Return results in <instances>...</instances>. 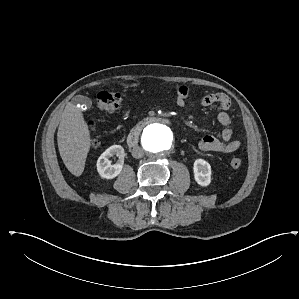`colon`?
Segmentation results:
<instances>
[{
    "label": "colon",
    "instance_id": "colon-1",
    "mask_svg": "<svg viewBox=\"0 0 299 299\" xmlns=\"http://www.w3.org/2000/svg\"><path fill=\"white\" fill-rule=\"evenodd\" d=\"M123 102V95L118 92L112 91H102L97 96V106L102 112H115ZM98 146V141L94 140L92 143V148L95 149ZM230 165L237 169L242 165V160L240 158H233L230 161Z\"/></svg>",
    "mask_w": 299,
    "mask_h": 299
}]
</instances>
